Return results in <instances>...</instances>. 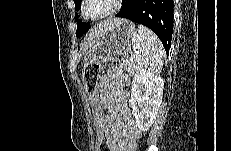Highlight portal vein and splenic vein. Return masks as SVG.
Masks as SVG:
<instances>
[{"label":"portal vein and splenic vein","instance_id":"obj_1","mask_svg":"<svg viewBox=\"0 0 231 151\" xmlns=\"http://www.w3.org/2000/svg\"><path fill=\"white\" fill-rule=\"evenodd\" d=\"M135 57V53L131 54V59H133Z\"/></svg>","mask_w":231,"mask_h":151}]
</instances>
